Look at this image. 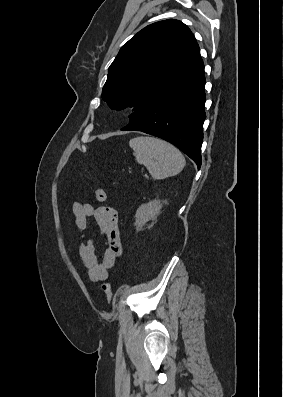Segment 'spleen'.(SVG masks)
Here are the masks:
<instances>
[{
    "mask_svg": "<svg viewBox=\"0 0 283 397\" xmlns=\"http://www.w3.org/2000/svg\"><path fill=\"white\" fill-rule=\"evenodd\" d=\"M139 164H143L152 178L162 180L180 173L186 161L175 146L155 137L140 136L129 141Z\"/></svg>",
    "mask_w": 283,
    "mask_h": 397,
    "instance_id": "3e777b00",
    "label": "spleen"
}]
</instances>
